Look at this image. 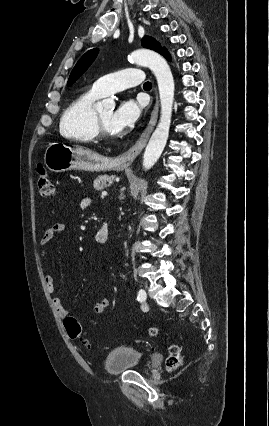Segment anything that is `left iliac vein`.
<instances>
[{"label":"left iliac vein","instance_id":"1","mask_svg":"<svg viewBox=\"0 0 269 426\" xmlns=\"http://www.w3.org/2000/svg\"><path fill=\"white\" fill-rule=\"evenodd\" d=\"M141 307L143 310H148V304L146 302L142 303Z\"/></svg>","mask_w":269,"mask_h":426}]
</instances>
